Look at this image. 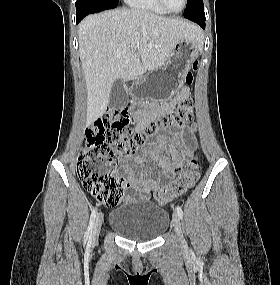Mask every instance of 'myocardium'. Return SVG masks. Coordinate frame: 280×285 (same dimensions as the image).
<instances>
[{
  "label": "myocardium",
  "instance_id": "1",
  "mask_svg": "<svg viewBox=\"0 0 280 285\" xmlns=\"http://www.w3.org/2000/svg\"><path fill=\"white\" fill-rule=\"evenodd\" d=\"M158 3L160 4V6L167 12V13H171V14H179L181 13L187 6V3H188V0H183V5L181 7V9L177 10V11H173V10H170L166 3H165V0H157Z\"/></svg>",
  "mask_w": 280,
  "mask_h": 285
}]
</instances>
